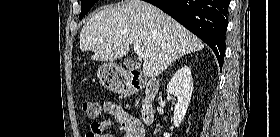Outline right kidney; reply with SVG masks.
Masks as SVG:
<instances>
[{
  "mask_svg": "<svg viewBox=\"0 0 280 137\" xmlns=\"http://www.w3.org/2000/svg\"><path fill=\"white\" fill-rule=\"evenodd\" d=\"M192 92L193 81L191 69L188 66H183L178 69L167 85V93L176 96L178 100L174 109V125L176 127H179L186 115ZM169 136L170 134L164 133V137Z\"/></svg>",
  "mask_w": 280,
  "mask_h": 137,
  "instance_id": "ca27d5eb",
  "label": "right kidney"
}]
</instances>
